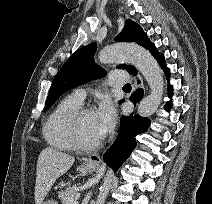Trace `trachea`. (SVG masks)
Returning <instances> with one entry per match:
<instances>
[{"label": "trachea", "instance_id": "3493384b", "mask_svg": "<svg viewBox=\"0 0 212 204\" xmlns=\"http://www.w3.org/2000/svg\"><path fill=\"white\" fill-rule=\"evenodd\" d=\"M123 89H130L131 90V85L130 84H126L123 86Z\"/></svg>", "mask_w": 212, "mask_h": 204}]
</instances>
